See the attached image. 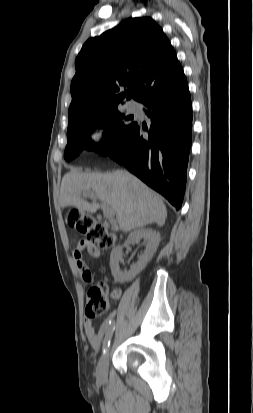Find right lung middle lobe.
I'll list each match as a JSON object with an SVG mask.
<instances>
[{
	"instance_id": "obj_1",
	"label": "right lung middle lobe",
	"mask_w": 253,
	"mask_h": 413,
	"mask_svg": "<svg viewBox=\"0 0 253 413\" xmlns=\"http://www.w3.org/2000/svg\"><path fill=\"white\" fill-rule=\"evenodd\" d=\"M117 107L102 108L69 121L64 152L67 161L78 156L83 149L94 150L105 156L124 139L137 122H130L133 118L121 114ZM96 127L104 128V137L99 145L90 138V133Z\"/></svg>"
}]
</instances>
